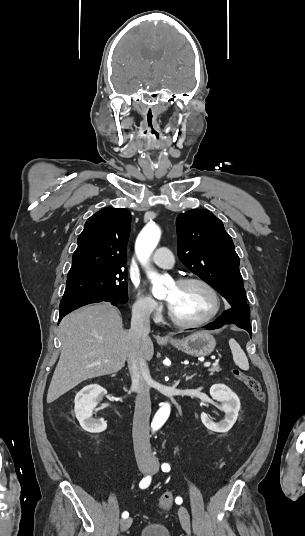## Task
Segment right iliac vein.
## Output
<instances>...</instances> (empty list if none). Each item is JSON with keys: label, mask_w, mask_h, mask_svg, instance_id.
I'll return each instance as SVG.
<instances>
[{"label": "right iliac vein", "mask_w": 305, "mask_h": 536, "mask_svg": "<svg viewBox=\"0 0 305 536\" xmlns=\"http://www.w3.org/2000/svg\"><path fill=\"white\" fill-rule=\"evenodd\" d=\"M148 469V466L147 465H141L140 466V471L142 473H145ZM132 524V518H127V519H123L121 520V530L122 531H125L127 530Z\"/></svg>", "instance_id": "1"}]
</instances>
